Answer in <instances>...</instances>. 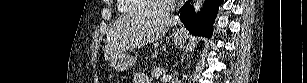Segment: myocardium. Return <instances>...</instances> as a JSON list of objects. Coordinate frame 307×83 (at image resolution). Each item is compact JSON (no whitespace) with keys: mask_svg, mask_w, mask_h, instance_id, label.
<instances>
[{"mask_svg":"<svg viewBox=\"0 0 307 83\" xmlns=\"http://www.w3.org/2000/svg\"><path fill=\"white\" fill-rule=\"evenodd\" d=\"M151 4L155 8H157V11L160 14H168L170 13V11H172L176 7L175 1H168V2L163 3L160 0H152Z\"/></svg>","mask_w":307,"mask_h":83,"instance_id":"myocardium-1","label":"myocardium"}]
</instances>
